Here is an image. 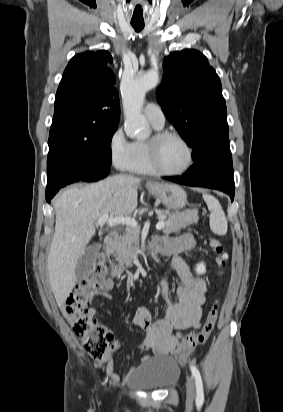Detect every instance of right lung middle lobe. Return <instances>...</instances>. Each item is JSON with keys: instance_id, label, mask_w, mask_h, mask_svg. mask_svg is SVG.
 Masks as SVG:
<instances>
[{"instance_id": "dd1d6c3e", "label": "right lung middle lobe", "mask_w": 283, "mask_h": 412, "mask_svg": "<svg viewBox=\"0 0 283 412\" xmlns=\"http://www.w3.org/2000/svg\"><path fill=\"white\" fill-rule=\"evenodd\" d=\"M115 130L103 129L80 115L53 118L48 140L47 172L65 165L111 163V139Z\"/></svg>"}]
</instances>
